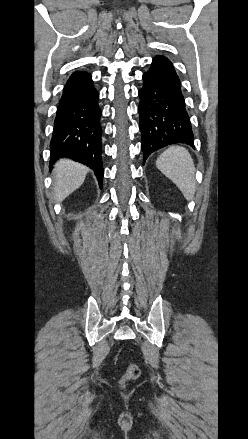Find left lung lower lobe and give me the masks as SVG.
Here are the masks:
<instances>
[{
    "label": "left lung lower lobe",
    "instance_id": "left-lung-lower-lobe-1",
    "mask_svg": "<svg viewBox=\"0 0 248 439\" xmlns=\"http://www.w3.org/2000/svg\"><path fill=\"white\" fill-rule=\"evenodd\" d=\"M143 81L138 92L143 164L151 153L170 144L185 143L194 148L181 83L170 60L156 56Z\"/></svg>",
    "mask_w": 248,
    "mask_h": 439
}]
</instances>
